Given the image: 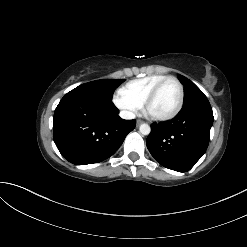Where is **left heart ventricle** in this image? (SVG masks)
Masks as SVG:
<instances>
[{"instance_id": "left-heart-ventricle-1", "label": "left heart ventricle", "mask_w": 247, "mask_h": 247, "mask_svg": "<svg viewBox=\"0 0 247 247\" xmlns=\"http://www.w3.org/2000/svg\"><path fill=\"white\" fill-rule=\"evenodd\" d=\"M179 102V87L174 81L166 82L148 107L156 116L168 115L174 111Z\"/></svg>"}]
</instances>
